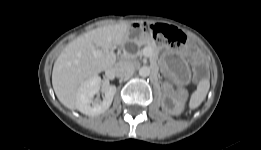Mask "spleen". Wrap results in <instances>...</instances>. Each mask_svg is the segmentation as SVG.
<instances>
[{"instance_id": "obj_1", "label": "spleen", "mask_w": 261, "mask_h": 150, "mask_svg": "<svg viewBox=\"0 0 261 150\" xmlns=\"http://www.w3.org/2000/svg\"><path fill=\"white\" fill-rule=\"evenodd\" d=\"M210 88L209 80H202L199 82L196 91L193 92L189 101V109L197 108L205 99Z\"/></svg>"}]
</instances>
